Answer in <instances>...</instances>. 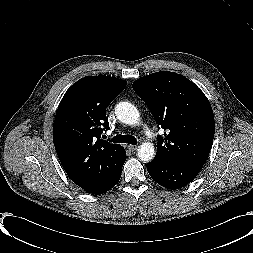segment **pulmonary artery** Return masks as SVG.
Here are the masks:
<instances>
[{"instance_id": "1", "label": "pulmonary artery", "mask_w": 253, "mask_h": 253, "mask_svg": "<svg viewBox=\"0 0 253 253\" xmlns=\"http://www.w3.org/2000/svg\"><path fill=\"white\" fill-rule=\"evenodd\" d=\"M142 131H143L145 134H148L149 128H148L147 126H142Z\"/></svg>"}]
</instances>
